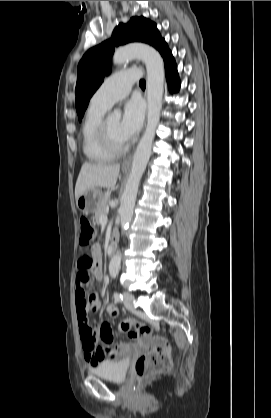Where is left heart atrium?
I'll use <instances>...</instances> for the list:
<instances>
[{
	"mask_svg": "<svg viewBox=\"0 0 271 418\" xmlns=\"http://www.w3.org/2000/svg\"><path fill=\"white\" fill-rule=\"evenodd\" d=\"M144 119V106L139 99L129 100L124 107L120 122V132L124 140L134 137L140 130Z\"/></svg>",
	"mask_w": 271,
	"mask_h": 418,
	"instance_id": "obj_1",
	"label": "left heart atrium"
}]
</instances>
